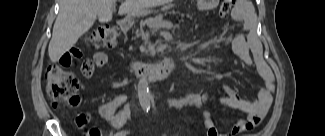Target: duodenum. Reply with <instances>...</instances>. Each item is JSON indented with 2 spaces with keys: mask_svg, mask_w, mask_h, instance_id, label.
I'll list each match as a JSON object with an SVG mask.
<instances>
[{
  "mask_svg": "<svg viewBox=\"0 0 325 136\" xmlns=\"http://www.w3.org/2000/svg\"><path fill=\"white\" fill-rule=\"evenodd\" d=\"M121 30L125 31L129 27L126 20L119 22ZM130 69L135 74L149 76L152 78H162L177 69V63L173 55L168 56L161 63L152 65L143 62H134L130 65Z\"/></svg>",
  "mask_w": 325,
  "mask_h": 136,
  "instance_id": "duodenum-1",
  "label": "duodenum"
}]
</instances>
